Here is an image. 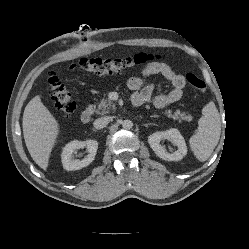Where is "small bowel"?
<instances>
[{
  "mask_svg": "<svg viewBox=\"0 0 249 249\" xmlns=\"http://www.w3.org/2000/svg\"><path fill=\"white\" fill-rule=\"evenodd\" d=\"M152 75L162 76L172 86L168 93L159 94L153 98V103L156 107L170 106L182 98L186 84L185 77L173 71L166 63L151 62L143 69L141 76L131 77L127 82L128 88L133 91L132 102L134 105L140 106L152 99L154 85H145L146 79Z\"/></svg>",
  "mask_w": 249,
  "mask_h": 249,
  "instance_id": "1",
  "label": "small bowel"
}]
</instances>
